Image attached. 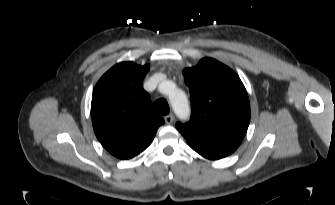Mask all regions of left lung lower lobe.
Returning <instances> with one entry per match:
<instances>
[{
  "mask_svg": "<svg viewBox=\"0 0 335 205\" xmlns=\"http://www.w3.org/2000/svg\"><path fill=\"white\" fill-rule=\"evenodd\" d=\"M190 147L193 150H195L197 153H199L201 156H203L207 159H211V160H218V159L224 158L227 155H229V154H223V153H216V152L201 150L200 148H197L193 145H190Z\"/></svg>",
  "mask_w": 335,
  "mask_h": 205,
  "instance_id": "1",
  "label": "left lung lower lobe"
}]
</instances>
